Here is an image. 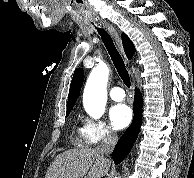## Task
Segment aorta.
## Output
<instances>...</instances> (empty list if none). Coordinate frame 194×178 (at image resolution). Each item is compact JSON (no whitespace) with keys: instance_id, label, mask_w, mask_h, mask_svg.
<instances>
[{"instance_id":"762f6f07","label":"aorta","mask_w":194,"mask_h":178,"mask_svg":"<svg viewBox=\"0 0 194 178\" xmlns=\"http://www.w3.org/2000/svg\"><path fill=\"white\" fill-rule=\"evenodd\" d=\"M108 76V66L99 63L93 68L86 82L83 105L86 112L95 119H99L105 111Z\"/></svg>"}]
</instances>
